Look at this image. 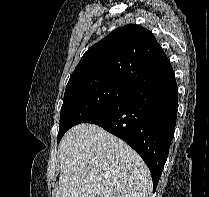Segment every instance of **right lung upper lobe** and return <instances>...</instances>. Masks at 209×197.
I'll return each instance as SVG.
<instances>
[{"instance_id":"cb5924a9","label":"right lung upper lobe","mask_w":209,"mask_h":197,"mask_svg":"<svg viewBox=\"0 0 209 197\" xmlns=\"http://www.w3.org/2000/svg\"><path fill=\"white\" fill-rule=\"evenodd\" d=\"M172 71L154 35L140 25L129 24L89 48L67 85L109 79L139 88Z\"/></svg>"}]
</instances>
